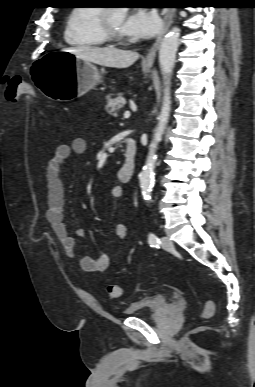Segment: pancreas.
<instances>
[{
    "label": "pancreas",
    "mask_w": 255,
    "mask_h": 387,
    "mask_svg": "<svg viewBox=\"0 0 255 387\" xmlns=\"http://www.w3.org/2000/svg\"><path fill=\"white\" fill-rule=\"evenodd\" d=\"M126 105V100L122 94H118L116 98L107 97V107L113 115H117L121 108Z\"/></svg>",
    "instance_id": "cf45deb5"
}]
</instances>
